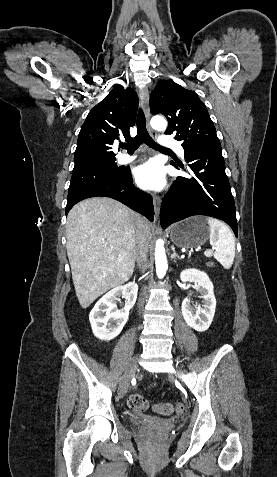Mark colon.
Listing matches in <instances>:
<instances>
[{
	"label": "colon",
	"instance_id": "obj_1",
	"mask_svg": "<svg viewBox=\"0 0 277 477\" xmlns=\"http://www.w3.org/2000/svg\"><path fill=\"white\" fill-rule=\"evenodd\" d=\"M206 266L212 267L213 261L207 260ZM128 405L133 411H136V412H143L148 408L147 400L142 395H139V394H132L128 399ZM153 410L163 415H170L172 413H181L183 411V406L179 403L172 404V403L166 402V403L155 404L153 406Z\"/></svg>",
	"mask_w": 277,
	"mask_h": 477
}]
</instances>
